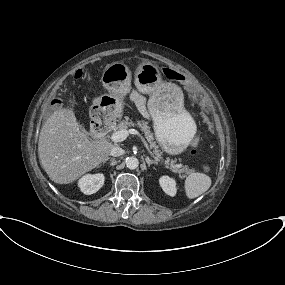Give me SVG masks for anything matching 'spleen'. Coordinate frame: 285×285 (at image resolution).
Segmentation results:
<instances>
[{"instance_id":"3e777b00","label":"spleen","mask_w":285,"mask_h":285,"mask_svg":"<svg viewBox=\"0 0 285 285\" xmlns=\"http://www.w3.org/2000/svg\"><path fill=\"white\" fill-rule=\"evenodd\" d=\"M210 186H211L210 177L207 176L206 174L199 172L191 173L186 178L184 185L186 195L189 199H194L200 196L201 194L206 192L210 188Z\"/></svg>"}]
</instances>
